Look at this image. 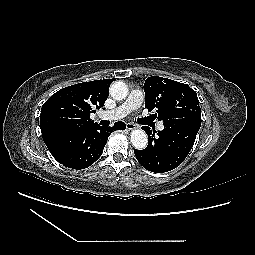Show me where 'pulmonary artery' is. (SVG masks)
<instances>
[{"label":"pulmonary artery","instance_id":"obj_1","mask_svg":"<svg viewBox=\"0 0 255 255\" xmlns=\"http://www.w3.org/2000/svg\"><path fill=\"white\" fill-rule=\"evenodd\" d=\"M144 101V94L141 90L134 89L130 92L126 101L120 106L116 107L113 110L107 111L105 113L106 117L109 119H119L126 116L131 111L139 108ZM158 130L163 129V124H157Z\"/></svg>","mask_w":255,"mask_h":255}]
</instances>
